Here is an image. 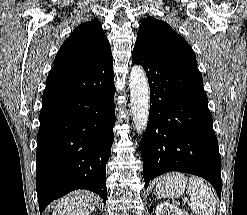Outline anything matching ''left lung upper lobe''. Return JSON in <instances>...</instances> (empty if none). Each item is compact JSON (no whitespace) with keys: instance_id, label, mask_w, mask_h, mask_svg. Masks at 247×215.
Masks as SVG:
<instances>
[{"instance_id":"5c2ea615","label":"left lung upper lobe","mask_w":247,"mask_h":215,"mask_svg":"<svg viewBox=\"0 0 247 215\" xmlns=\"http://www.w3.org/2000/svg\"><path fill=\"white\" fill-rule=\"evenodd\" d=\"M134 48L165 62L197 68L195 54L186 40L166 22L153 17L146 18L140 25Z\"/></svg>"}]
</instances>
